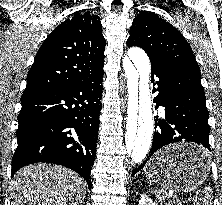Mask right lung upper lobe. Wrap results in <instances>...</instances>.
I'll list each match as a JSON object with an SVG mask.
<instances>
[{"instance_id": "right-lung-upper-lobe-1", "label": "right lung upper lobe", "mask_w": 222, "mask_h": 205, "mask_svg": "<svg viewBox=\"0 0 222 205\" xmlns=\"http://www.w3.org/2000/svg\"><path fill=\"white\" fill-rule=\"evenodd\" d=\"M105 45L100 17L75 12L41 45L24 92L69 86L101 73Z\"/></svg>"}]
</instances>
